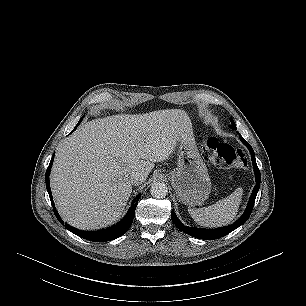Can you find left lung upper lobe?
I'll use <instances>...</instances> for the list:
<instances>
[{
    "mask_svg": "<svg viewBox=\"0 0 306 306\" xmlns=\"http://www.w3.org/2000/svg\"><path fill=\"white\" fill-rule=\"evenodd\" d=\"M231 123H232L231 128L232 129H236L235 123H234V121L232 119H231Z\"/></svg>",
    "mask_w": 306,
    "mask_h": 306,
    "instance_id": "5c2ea615",
    "label": "left lung upper lobe"
}]
</instances>
